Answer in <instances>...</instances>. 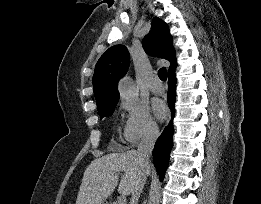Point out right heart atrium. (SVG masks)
Here are the masks:
<instances>
[{"label": "right heart atrium", "instance_id": "1", "mask_svg": "<svg viewBox=\"0 0 261 204\" xmlns=\"http://www.w3.org/2000/svg\"><path fill=\"white\" fill-rule=\"evenodd\" d=\"M119 107L126 113L122 134L128 146H135L141 141L153 139L158 135V125L146 104L122 100Z\"/></svg>", "mask_w": 261, "mask_h": 204}]
</instances>
